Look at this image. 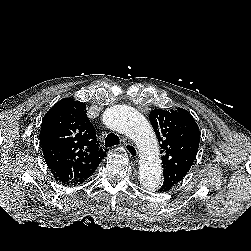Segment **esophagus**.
<instances>
[{"instance_id": "esophagus-1", "label": "esophagus", "mask_w": 251, "mask_h": 251, "mask_svg": "<svg viewBox=\"0 0 251 251\" xmlns=\"http://www.w3.org/2000/svg\"><path fill=\"white\" fill-rule=\"evenodd\" d=\"M123 145L126 149V151L128 152L129 156L131 158H137L138 157V151L136 149V147L129 141H127L126 139H123Z\"/></svg>"}]
</instances>
